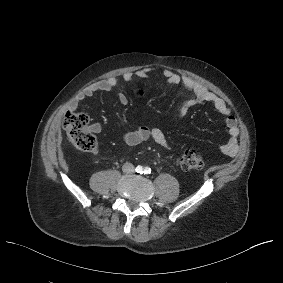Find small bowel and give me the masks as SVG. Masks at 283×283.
Here are the masks:
<instances>
[{"label": "small bowel", "mask_w": 283, "mask_h": 283, "mask_svg": "<svg viewBox=\"0 0 283 283\" xmlns=\"http://www.w3.org/2000/svg\"><path fill=\"white\" fill-rule=\"evenodd\" d=\"M151 76L150 68H143L137 71L127 72L123 75V80L126 82L134 79H146ZM164 80L170 85H183L193 95L187 99L182 106L186 113L194 106L200 104H211L214 109L225 118V123L228 128L229 137L221 146V152L229 157H233L238 152V135L239 127L237 119L232 115L229 106L226 102L214 94L212 91L203 86L200 82L186 75H179L172 70H165L162 73ZM118 80L116 77H110L106 80L96 82L83 91H81L71 102V108L76 109L85 99L93 96L97 92H109L116 87ZM118 102L121 105L128 103V97L125 94L118 95ZM102 128L99 123H93L89 127V131L93 134H99ZM123 141L128 146L141 144L149 139L153 140L159 146L170 149V143L165 133L159 128H150L146 126L139 127L133 131L125 132L122 135Z\"/></svg>", "instance_id": "small-bowel-1"}]
</instances>
